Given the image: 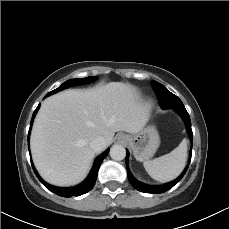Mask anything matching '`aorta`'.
I'll return each instance as SVG.
<instances>
[{"mask_svg": "<svg viewBox=\"0 0 229 229\" xmlns=\"http://www.w3.org/2000/svg\"><path fill=\"white\" fill-rule=\"evenodd\" d=\"M126 150L122 145H113L110 149V157L113 160L120 161L125 158Z\"/></svg>", "mask_w": 229, "mask_h": 229, "instance_id": "762f6f07", "label": "aorta"}]
</instances>
